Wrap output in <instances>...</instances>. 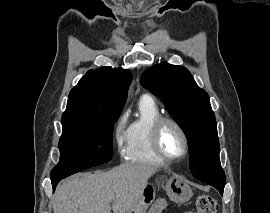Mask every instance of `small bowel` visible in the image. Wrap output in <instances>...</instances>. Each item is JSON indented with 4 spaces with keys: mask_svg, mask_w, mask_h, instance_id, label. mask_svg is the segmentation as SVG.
Returning <instances> with one entry per match:
<instances>
[{
    "mask_svg": "<svg viewBox=\"0 0 270 213\" xmlns=\"http://www.w3.org/2000/svg\"><path fill=\"white\" fill-rule=\"evenodd\" d=\"M166 207V202L163 200H157L149 210V213H163Z\"/></svg>",
    "mask_w": 270,
    "mask_h": 213,
    "instance_id": "1",
    "label": "small bowel"
}]
</instances>
